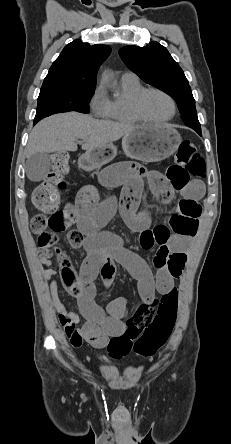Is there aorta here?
<instances>
[{
  "instance_id": "aorta-1",
  "label": "aorta",
  "mask_w": 231,
  "mask_h": 444,
  "mask_svg": "<svg viewBox=\"0 0 231 444\" xmlns=\"http://www.w3.org/2000/svg\"><path fill=\"white\" fill-rule=\"evenodd\" d=\"M104 79L106 80V81H108L109 80V75H104Z\"/></svg>"
}]
</instances>
